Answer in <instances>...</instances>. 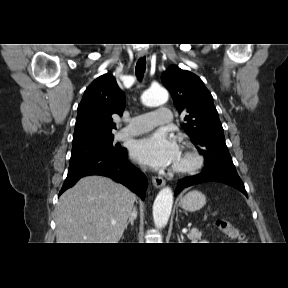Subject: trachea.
Returning a JSON list of instances; mask_svg holds the SVG:
<instances>
[{"mask_svg":"<svg viewBox=\"0 0 288 288\" xmlns=\"http://www.w3.org/2000/svg\"><path fill=\"white\" fill-rule=\"evenodd\" d=\"M146 69V58L141 57L136 64L135 73L139 80H142Z\"/></svg>","mask_w":288,"mask_h":288,"instance_id":"3493384b","label":"trachea"}]
</instances>
